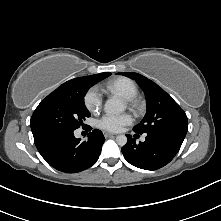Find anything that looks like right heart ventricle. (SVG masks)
<instances>
[{"label": "right heart ventricle", "mask_w": 221, "mask_h": 221, "mask_svg": "<svg viewBox=\"0 0 221 221\" xmlns=\"http://www.w3.org/2000/svg\"><path fill=\"white\" fill-rule=\"evenodd\" d=\"M106 89L112 93L118 94L124 99L136 97L138 87L136 83L127 77H117L106 84Z\"/></svg>", "instance_id": "right-heart-ventricle-1"}]
</instances>
